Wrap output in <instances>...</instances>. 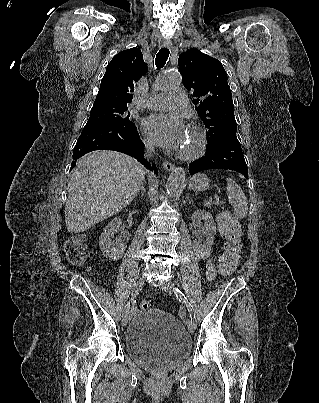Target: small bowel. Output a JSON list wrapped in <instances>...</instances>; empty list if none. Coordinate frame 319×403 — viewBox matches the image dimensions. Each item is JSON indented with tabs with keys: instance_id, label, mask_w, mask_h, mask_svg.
Instances as JSON below:
<instances>
[{
	"instance_id": "1",
	"label": "small bowel",
	"mask_w": 319,
	"mask_h": 403,
	"mask_svg": "<svg viewBox=\"0 0 319 403\" xmlns=\"http://www.w3.org/2000/svg\"><path fill=\"white\" fill-rule=\"evenodd\" d=\"M207 276L213 279L216 276L215 260L213 257L209 258L206 263Z\"/></svg>"
}]
</instances>
